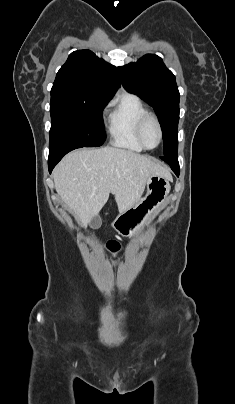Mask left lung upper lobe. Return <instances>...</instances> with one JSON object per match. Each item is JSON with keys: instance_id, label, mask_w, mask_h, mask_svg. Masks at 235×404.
I'll use <instances>...</instances> for the list:
<instances>
[{"instance_id": "5c2ea615", "label": "left lung upper lobe", "mask_w": 235, "mask_h": 404, "mask_svg": "<svg viewBox=\"0 0 235 404\" xmlns=\"http://www.w3.org/2000/svg\"><path fill=\"white\" fill-rule=\"evenodd\" d=\"M124 88L151 105L163 132L164 158L178 159L177 129L180 94L175 76L157 55L118 67Z\"/></svg>"}]
</instances>
